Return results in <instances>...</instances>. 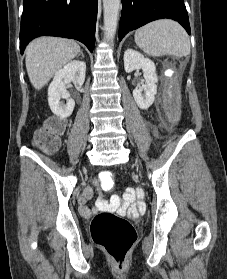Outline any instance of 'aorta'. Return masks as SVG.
Instances as JSON below:
<instances>
[{
	"label": "aorta",
	"instance_id": "1",
	"mask_svg": "<svg viewBox=\"0 0 227 279\" xmlns=\"http://www.w3.org/2000/svg\"><path fill=\"white\" fill-rule=\"evenodd\" d=\"M121 0H103L105 36L112 41L115 36Z\"/></svg>",
	"mask_w": 227,
	"mask_h": 279
}]
</instances>
